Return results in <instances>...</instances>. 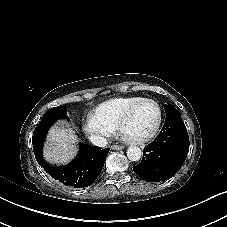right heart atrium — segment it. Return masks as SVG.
<instances>
[{
  "instance_id": "1",
  "label": "right heart atrium",
  "mask_w": 227,
  "mask_h": 227,
  "mask_svg": "<svg viewBox=\"0 0 227 227\" xmlns=\"http://www.w3.org/2000/svg\"><path fill=\"white\" fill-rule=\"evenodd\" d=\"M87 139L93 144H99L111 135V130L99 127L94 123H90L84 128Z\"/></svg>"
}]
</instances>
